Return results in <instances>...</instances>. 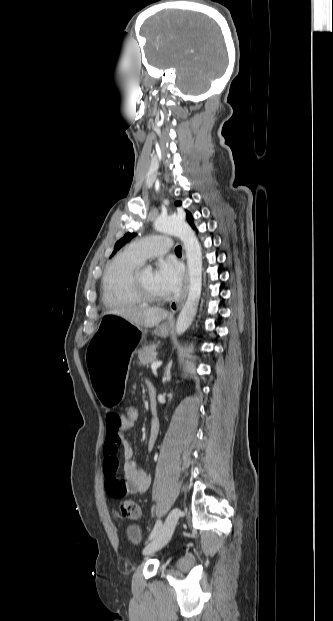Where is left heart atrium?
Returning a JSON list of instances; mask_svg holds the SVG:
<instances>
[{
    "instance_id": "39dd6f15",
    "label": "left heart atrium",
    "mask_w": 333,
    "mask_h": 621,
    "mask_svg": "<svg viewBox=\"0 0 333 621\" xmlns=\"http://www.w3.org/2000/svg\"><path fill=\"white\" fill-rule=\"evenodd\" d=\"M182 279V270L173 261H162L154 271V280L166 295L177 292L182 285Z\"/></svg>"
}]
</instances>
